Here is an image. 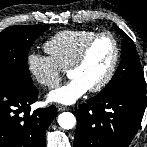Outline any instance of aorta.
Listing matches in <instances>:
<instances>
[{
    "label": "aorta",
    "mask_w": 147,
    "mask_h": 147,
    "mask_svg": "<svg viewBox=\"0 0 147 147\" xmlns=\"http://www.w3.org/2000/svg\"><path fill=\"white\" fill-rule=\"evenodd\" d=\"M58 123L61 128L69 130L75 126L76 118L70 112H63L58 116Z\"/></svg>",
    "instance_id": "aorta-1"
}]
</instances>
